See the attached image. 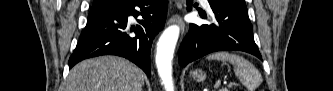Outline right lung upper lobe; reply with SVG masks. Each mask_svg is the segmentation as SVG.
<instances>
[{
    "instance_id": "1",
    "label": "right lung upper lobe",
    "mask_w": 333,
    "mask_h": 91,
    "mask_svg": "<svg viewBox=\"0 0 333 91\" xmlns=\"http://www.w3.org/2000/svg\"><path fill=\"white\" fill-rule=\"evenodd\" d=\"M101 2V1H110V0H94V2ZM120 1H126L124 4H126V3H128V2H130L131 0H120ZM123 4V5H124ZM118 8V7H117ZM103 9H109V7H105V8H103Z\"/></svg>"
}]
</instances>
